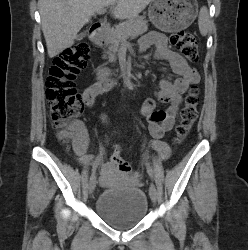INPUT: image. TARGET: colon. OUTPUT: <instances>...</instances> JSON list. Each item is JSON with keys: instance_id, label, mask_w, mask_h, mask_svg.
Returning <instances> with one entry per match:
<instances>
[{"instance_id": "1", "label": "colon", "mask_w": 248, "mask_h": 250, "mask_svg": "<svg viewBox=\"0 0 248 250\" xmlns=\"http://www.w3.org/2000/svg\"><path fill=\"white\" fill-rule=\"evenodd\" d=\"M171 43L180 50L190 62L199 59L198 45L189 32L176 31L170 35ZM89 61V46L85 42L76 43L58 55L50 67L46 80V96L49 104L53 127L64 143L73 137L71 122L83 110V103L77 92L74 80ZM198 89L192 86L185 97L180 111V121L176 127L177 140H182L190 132L196 117L198 106ZM115 148L112 163L122 172L131 170L130 164L118 155Z\"/></svg>"}]
</instances>
